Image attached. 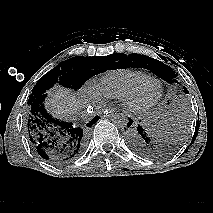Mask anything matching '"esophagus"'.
<instances>
[{
    "label": "esophagus",
    "mask_w": 213,
    "mask_h": 213,
    "mask_svg": "<svg viewBox=\"0 0 213 213\" xmlns=\"http://www.w3.org/2000/svg\"><path fill=\"white\" fill-rule=\"evenodd\" d=\"M106 116H112L113 114H117L118 110L116 108L110 107L103 112Z\"/></svg>",
    "instance_id": "1"
}]
</instances>
